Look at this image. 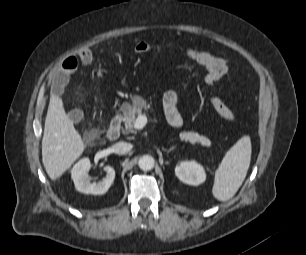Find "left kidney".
Wrapping results in <instances>:
<instances>
[{
  "label": "left kidney",
  "instance_id": "left-kidney-1",
  "mask_svg": "<svg viewBox=\"0 0 306 255\" xmlns=\"http://www.w3.org/2000/svg\"><path fill=\"white\" fill-rule=\"evenodd\" d=\"M175 174L183 183L194 186H198L206 180L203 166L196 161L181 162L176 166Z\"/></svg>",
  "mask_w": 306,
  "mask_h": 255
}]
</instances>
